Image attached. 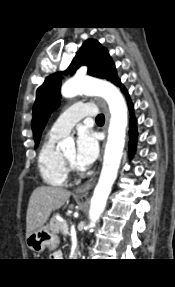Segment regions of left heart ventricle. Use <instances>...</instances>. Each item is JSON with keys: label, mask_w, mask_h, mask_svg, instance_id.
<instances>
[{"label": "left heart ventricle", "mask_w": 175, "mask_h": 287, "mask_svg": "<svg viewBox=\"0 0 175 287\" xmlns=\"http://www.w3.org/2000/svg\"><path fill=\"white\" fill-rule=\"evenodd\" d=\"M64 155L69 159L75 162L76 152L75 149H71L64 153Z\"/></svg>", "instance_id": "obj_1"}]
</instances>
